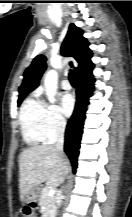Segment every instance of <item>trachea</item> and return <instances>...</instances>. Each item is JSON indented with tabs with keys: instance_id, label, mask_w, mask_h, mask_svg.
<instances>
[{
	"instance_id": "1",
	"label": "trachea",
	"mask_w": 132,
	"mask_h": 217,
	"mask_svg": "<svg viewBox=\"0 0 132 217\" xmlns=\"http://www.w3.org/2000/svg\"><path fill=\"white\" fill-rule=\"evenodd\" d=\"M69 80H70V83L72 84V86L76 87L77 79H76V76L74 75V73L70 72Z\"/></svg>"
}]
</instances>
